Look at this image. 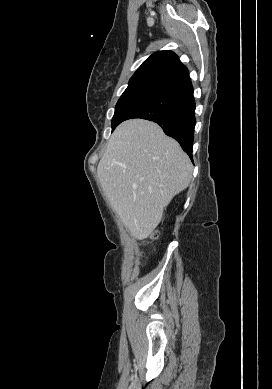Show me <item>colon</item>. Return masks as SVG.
Listing matches in <instances>:
<instances>
[{"mask_svg":"<svg viewBox=\"0 0 272 389\" xmlns=\"http://www.w3.org/2000/svg\"><path fill=\"white\" fill-rule=\"evenodd\" d=\"M153 236L156 237V236H157V233H154Z\"/></svg>","mask_w":272,"mask_h":389,"instance_id":"obj_1","label":"colon"}]
</instances>
